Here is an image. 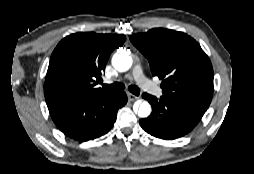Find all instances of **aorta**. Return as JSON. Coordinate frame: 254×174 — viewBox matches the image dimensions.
<instances>
[{
    "label": "aorta",
    "mask_w": 254,
    "mask_h": 174,
    "mask_svg": "<svg viewBox=\"0 0 254 174\" xmlns=\"http://www.w3.org/2000/svg\"><path fill=\"white\" fill-rule=\"evenodd\" d=\"M112 65L117 71L125 72L132 66V57L125 52H118L112 57ZM137 113L140 118H147L151 113V105L147 101H143Z\"/></svg>",
    "instance_id": "obj_1"
}]
</instances>
